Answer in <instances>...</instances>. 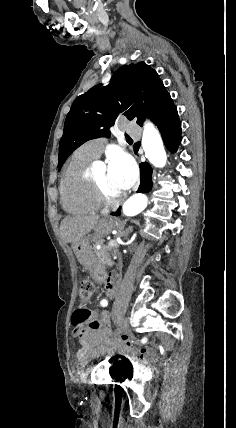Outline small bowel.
<instances>
[{
    "label": "small bowel",
    "instance_id": "small-bowel-1",
    "mask_svg": "<svg viewBox=\"0 0 236 428\" xmlns=\"http://www.w3.org/2000/svg\"><path fill=\"white\" fill-rule=\"evenodd\" d=\"M118 280L119 278L116 274H110L108 276L105 283V292L109 297L116 293ZM95 316L99 322L97 326L89 325L87 328H84L79 332L74 331L73 333L74 336L79 339L82 345V348L78 352L79 358H84L91 353L97 352L101 346L110 342L106 315L101 313ZM112 344L124 352L135 350L140 355V358L144 361H152L156 358V355L152 349L148 347L134 348L131 342L124 337L114 340Z\"/></svg>",
    "mask_w": 236,
    "mask_h": 428
}]
</instances>
